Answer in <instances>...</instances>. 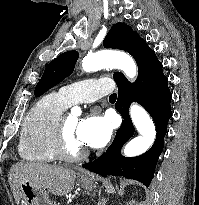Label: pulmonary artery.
I'll return each mask as SVG.
<instances>
[{
    "label": "pulmonary artery",
    "mask_w": 199,
    "mask_h": 205,
    "mask_svg": "<svg viewBox=\"0 0 199 205\" xmlns=\"http://www.w3.org/2000/svg\"><path fill=\"white\" fill-rule=\"evenodd\" d=\"M111 81L103 78H91L72 83L60 88L59 94L69 105L85 102L91 103L110 93Z\"/></svg>",
    "instance_id": "obj_1"
}]
</instances>
